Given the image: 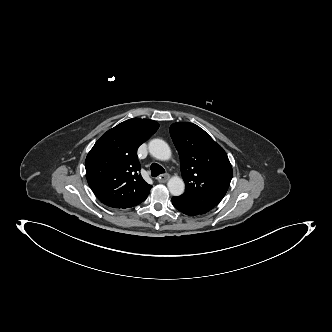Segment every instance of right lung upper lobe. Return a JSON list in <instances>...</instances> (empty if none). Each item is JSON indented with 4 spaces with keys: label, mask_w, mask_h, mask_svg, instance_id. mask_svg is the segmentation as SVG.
Masks as SVG:
<instances>
[{
    "label": "right lung upper lobe",
    "mask_w": 332,
    "mask_h": 332,
    "mask_svg": "<svg viewBox=\"0 0 332 332\" xmlns=\"http://www.w3.org/2000/svg\"><path fill=\"white\" fill-rule=\"evenodd\" d=\"M159 124L132 118L108 130L88 153L85 168L88 184L97 198L112 208H130L143 202L151 189L140 174L138 147Z\"/></svg>",
    "instance_id": "1"
}]
</instances>
